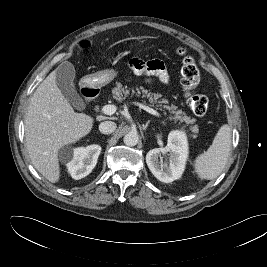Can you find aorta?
Instances as JSON below:
<instances>
[{
    "instance_id": "obj_1",
    "label": "aorta",
    "mask_w": 267,
    "mask_h": 267,
    "mask_svg": "<svg viewBox=\"0 0 267 267\" xmlns=\"http://www.w3.org/2000/svg\"><path fill=\"white\" fill-rule=\"evenodd\" d=\"M123 141L125 145L132 147L137 145L139 141V136L136 132H129L124 136Z\"/></svg>"
}]
</instances>
